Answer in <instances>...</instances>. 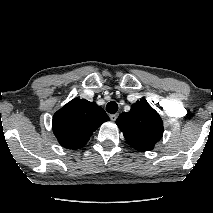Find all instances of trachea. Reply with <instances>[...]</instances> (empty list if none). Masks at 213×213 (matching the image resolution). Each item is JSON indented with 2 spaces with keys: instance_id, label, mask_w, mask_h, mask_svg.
<instances>
[{
  "instance_id": "3493384b",
  "label": "trachea",
  "mask_w": 213,
  "mask_h": 213,
  "mask_svg": "<svg viewBox=\"0 0 213 213\" xmlns=\"http://www.w3.org/2000/svg\"><path fill=\"white\" fill-rule=\"evenodd\" d=\"M106 111L110 114H114L118 111V104L115 101H110L106 105Z\"/></svg>"
}]
</instances>
